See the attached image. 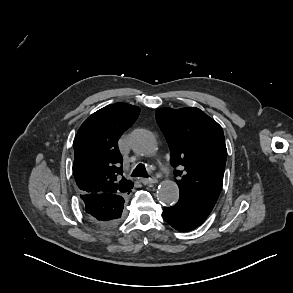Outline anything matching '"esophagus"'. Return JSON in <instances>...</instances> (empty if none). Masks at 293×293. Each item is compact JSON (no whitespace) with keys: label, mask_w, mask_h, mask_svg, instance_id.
Segmentation results:
<instances>
[{"label":"esophagus","mask_w":293,"mask_h":293,"mask_svg":"<svg viewBox=\"0 0 293 293\" xmlns=\"http://www.w3.org/2000/svg\"><path fill=\"white\" fill-rule=\"evenodd\" d=\"M140 182L144 185H148V184H154L157 183V179L152 177V178H141Z\"/></svg>","instance_id":"34e87169"}]
</instances>
